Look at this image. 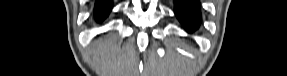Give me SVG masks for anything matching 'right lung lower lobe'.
<instances>
[{
  "instance_id": "1",
  "label": "right lung lower lobe",
  "mask_w": 287,
  "mask_h": 76,
  "mask_svg": "<svg viewBox=\"0 0 287 76\" xmlns=\"http://www.w3.org/2000/svg\"><path fill=\"white\" fill-rule=\"evenodd\" d=\"M112 8L111 0H98L95 5V16L98 21L103 20Z\"/></svg>"
}]
</instances>
